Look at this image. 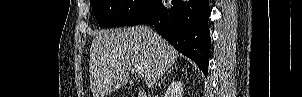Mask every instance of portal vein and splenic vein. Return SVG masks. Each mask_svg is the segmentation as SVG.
Here are the masks:
<instances>
[{"label":"portal vein and splenic vein","instance_id":"portal-vein-and-splenic-vein-1","mask_svg":"<svg viewBox=\"0 0 302 97\" xmlns=\"http://www.w3.org/2000/svg\"><path fill=\"white\" fill-rule=\"evenodd\" d=\"M134 68H135L136 73H138V75H143L144 67L142 65L135 63Z\"/></svg>","mask_w":302,"mask_h":97}]
</instances>
